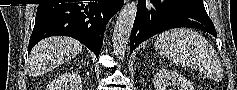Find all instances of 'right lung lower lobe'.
Segmentation results:
<instances>
[{
    "instance_id": "1",
    "label": "right lung lower lobe",
    "mask_w": 237,
    "mask_h": 90,
    "mask_svg": "<svg viewBox=\"0 0 237 90\" xmlns=\"http://www.w3.org/2000/svg\"><path fill=\"white\" fill-rule=\"evenodd\" d=\"M122 5L123 0L40 4L28 52L46 37L64 35L80 41L98 57L105 27Z\"/></svg>"
}]
</instances>
